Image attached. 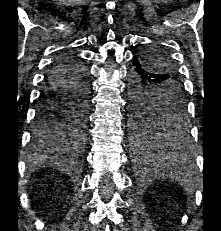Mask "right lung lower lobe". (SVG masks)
<instances>
[{"label":"right lung lower lobe","instance_id":"1","mask_svg":"<svg viewBox=\"0 0 221 231\" xmlns=\"http://www.w3.org/2000/svg\"><path fill=\"white\" fill-rule=\"evenodd\" d=\"M82 96L88 99L89 76L87 68L77 57L64 54L58 57L49 69L45 85L40 95L36 121L33 128L32 142L36 149H48L59 143L48 142L39 137L44 130L48 116L45 115L47 107L61 104L68 99ZM63 136V135H61Z\"/></svg>","mask_w":221,"mask_h":231}]
</instances>
